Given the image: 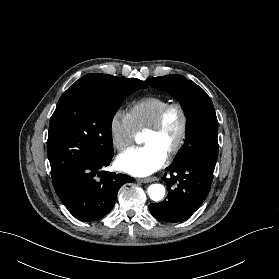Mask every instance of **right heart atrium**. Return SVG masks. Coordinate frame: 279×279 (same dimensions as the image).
<instances>
[{"instance_id":"d8ad5b80","label":"right heart atrium","mask_w":279,"mask_h":279,"mask_svg":"<svg viewBox=\"0 0 279 279\" xmlns=\"http://www.w3.org/2000/svg\"><path fill=\"white\" fill-rule=\"evenodd\" d=\"M109 131L111 141L118 151H124L130 147L137 136V130L129 115L120 110L111 116Z\"/></svg>"}]
</instances>
